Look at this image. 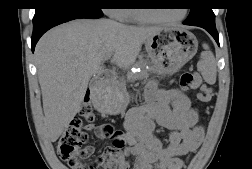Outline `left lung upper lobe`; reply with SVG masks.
<instances>
[{
	"label": "left lung upper lobe",
	"mask_w": 252,
	"mask_h": 169,
	"mask_svg": "<svg viewBox=\"0 0 252 169\" xmlns=\"http://www.w3.org/2000/svg\"><path fill=\"white\" fill-rule=\"evenodd\" d=\"M212 0H193L194 7L184 21L186 25L215 27V14L209 6Z\"/></svg>",
	"instance_id": "obj_1"
}]
</instances>
